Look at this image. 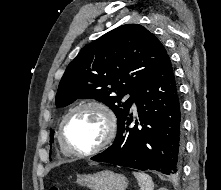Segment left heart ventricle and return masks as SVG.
<instances>
[{"instance_id":"obj_1","label":"left heart ventricle","mask_w":221,"mask_h":190,"mask_svg":"<svg viewBox=\"0 0 221 190\" xmlns=\"http://www.w3.org/2000/svg\"><path fill=\"white\" fill-rule=\"evenodd\" d=\"M106 131L103 113L95 108L74 112L65 124L64 138L73 148L84 151L101 142Z\"/></svg>"}]
</instances>
